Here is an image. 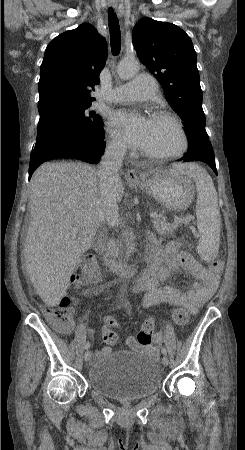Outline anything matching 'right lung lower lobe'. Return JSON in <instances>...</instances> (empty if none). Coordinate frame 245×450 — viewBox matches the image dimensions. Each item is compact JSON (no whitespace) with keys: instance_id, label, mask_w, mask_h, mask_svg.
<instances>
[{"instance_id":"98d812e1","label":"right lung lower lobe","mask_w":245,"mask_h":450,"mask_svg":"<svg viewBox=\"0 0 245 450\" xmlns=\"http://www.w3.org/2000/svg\"><path fill=\"white\" fill-rule=\"evenodd\" d=\"M103 130L96 143L64 145L46 152H32L29 165V180L34 170L43 162L54 158L70 157L88 163H98L105 148Z\"/></svg>"}]
</instances>
